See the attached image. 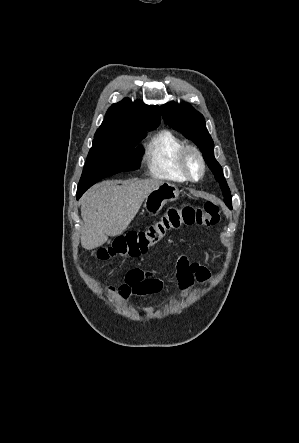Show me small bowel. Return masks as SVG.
<instances>
[{
    "label": "small bowel",
    "instance_id": "small-bowel-1",
    "mask_svg": "<svg viewBox=\"0 0 299 443\" xmlns=\"http://www.w3.org/2000/svg\"><path fill=\"white\" fill-rule=\"evenodd\" d=\"M210 277L209 271L198 263H192L185 255H180L176 262V279L181 291L188 292L195 281L206 283ZM163 279L152 270L132 269L125 281L116 288V293L122 300L135 298L144 294H155L162 290Z\"/></svg>",
    "mask_w": 299,
    "mask_h": 443
}]
</instances>
